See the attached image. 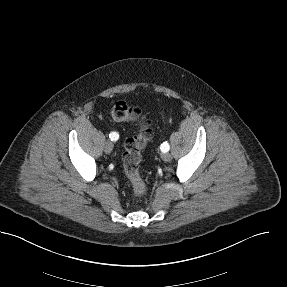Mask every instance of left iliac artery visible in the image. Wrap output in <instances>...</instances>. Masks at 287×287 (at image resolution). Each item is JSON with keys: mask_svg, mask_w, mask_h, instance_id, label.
Masks as SVG:
<instances>
[{"mask_svg": "<svg viewBox=\"0 0 287 287\" xmlns=\"http://www.w3.org/2000/svg\"><path fill=\"white\" fill-rule=\"evenodd\" d=\"M160 149H161L162 152L165 153V152H168V151H169L170 146H169V144H168L167 142H164L163 144H161Z\"/></svg>", "mask_w": 287, "mask_h": 287, "instance_id": "left-iliac-artery-1", "label": "left iliac artery"}]
</instances>
